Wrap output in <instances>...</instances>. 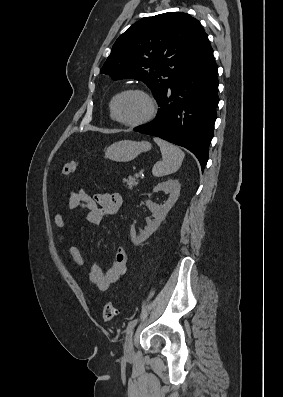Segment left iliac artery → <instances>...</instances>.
Segmentation results:
<instances>
[{
    "label": "left iliac artery",
    "instance_id": "1",
    "mask_svg": "<svg viewBox=\"0 0 283 397\" xmlns=\"http://www.w3.org/2000/svg\"><path fill=\"white\" fill-rule=\"evenodd\" d=\"M136 323H137V319L130 321L126 328V333H128L136 325Z\"/></svg>",
    "mask_w": 283,
    "mask_h": 397
}]
</instances>
